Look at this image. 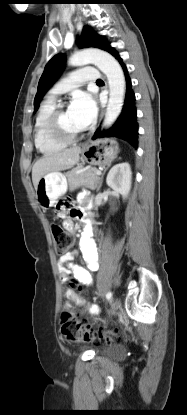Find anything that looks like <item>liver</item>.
Returning <instances> with one entry per match:
<instances>
[{"instance_id":"6515ba94","label":"liver","mask_w":187,"mask_h":415,"mask_svg":"<svg viewBox=\"0 0 187 415\" xmlns=\"http://www.w3.org/2000/svg\"><path fill=\"white\" fill-rule=\"evenodd\" d=\"M80 153V147H72L60 152L45 154L37 160L32 168V181L35 189L44 175L71 169L79 161Z\"/></svg>"}]
</instances>
